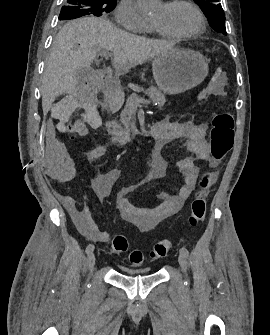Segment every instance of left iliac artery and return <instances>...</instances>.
Returning <instances> with one entry per match:
<instances>
[{
    "instance_id": "left-iliac-artery-1",
    "label": "left iliac artery",
    "mask_w": 270,
    "mask_h": 335,
    "mask_svg": "<svg viewBox=\"0 0 270 335\" xmlns=\"http://www.w3.org/2000/svg\"><path fill=\"white\" fill-rule=\"evenodd\" d=\"M180 254H182L184 257H188L189 256V251L185 247H182L180 249Z\"/></svg>"
}]
</instances>
